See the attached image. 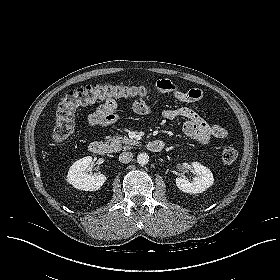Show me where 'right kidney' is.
I'll return each instance as SVG.
<instances>
[{
    "instance_id": "ca27d5eb",
    "label": "right kidney",
    "mask_w": 280,
    "mask_h": 280,
    "mask_svg": "<svg viewBox=\"0 0 280 280\" xmlns=\"http://www.w3.org/2000/svg\"><path fill=\"white\" fill-rule=\"evenodd\" d=\"M92 164V157H83L70 167L67 174V182L74 188L84 191H96L106 181V176L103 174L91 175L84 172Z\"/></svg>"
}]
</instances>
